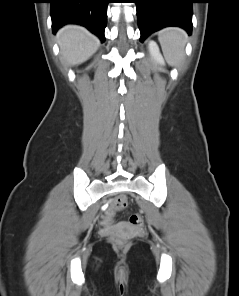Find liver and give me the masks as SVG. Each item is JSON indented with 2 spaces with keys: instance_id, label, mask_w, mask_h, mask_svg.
Returning <instances> with one entry per match:
<instances>
[{
  "instance_id": "6515ba94",
  "label": "liver",
  "mask_w": 239,
  "mask_h": 296,
  "mask_svg": "<svg viewBox=\"0 0 239 296\" xmlns=\"http://www.w3.org/2000/svg\"><path fill=\"white\" fill-rule=\"evenodd\" d=\"M62 58L70 65L88 60L99 48V39L86 28L66 25L57 33Z\"/></svg>"
}]
</instances>
